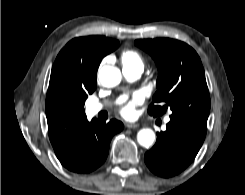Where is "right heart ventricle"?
I'll list each match as a JSON object with an SVG mask.
<instances>
[{
	"label": "right heart ventricle",
	"instance_id": "1",
	"mask_svg": "<svg viewBox=\"0 0 245 195\" xmlns=\"http://www.w3.org/2000/svg\"><path fill=\"white\" fill-rule=\"evenodd\" d=\"M123 67L140 66L143 68L144 62L140 54L134 50H126L121 54Z\"/></svg>",
	"mask_w": 245,
	"mask_h": 195
}]
</instances>
